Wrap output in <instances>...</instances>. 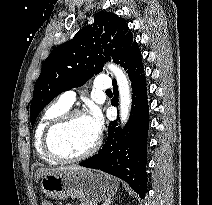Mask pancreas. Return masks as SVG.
Here are the masks:
<instances>
[{
    "label": "pancreas",
    "mask_w": 212,
    "mask_h": 205,
    "mask_svg": "<svg viewBox=\"0 0 212 205\" xmlns=\"http://www.w3.org/2000/svg\"><path fill=\"white\" fill-rule=\"evenodd\" d=\"M80 205H94L93 203H82Z\"/></svg>",
    "instance_id": "cf45deb5"
}]
</instances>
